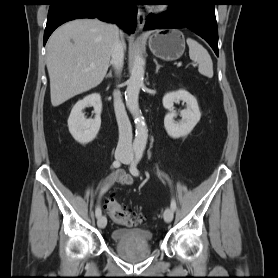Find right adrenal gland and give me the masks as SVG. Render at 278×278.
I'll use <instances>...</instances> for the list:
<instances>
[{"instance_id": "2a0ac1e0", "label": "right adrenal gland", "mask_w": 278, "mask_h": 278, "mask_svg": "<svg viewBox=\"0 0 278 278\" xmlns=\"http://www.w3.org/2000/svg\"><path fill=\"white\" fill-rule=\"evenodd\" d=\"M112 77V71H110L107 75L106 78H111Z\"/></svg>"}]
</instances>
